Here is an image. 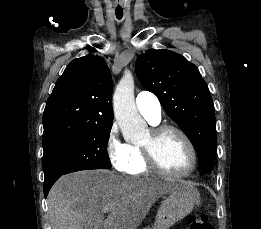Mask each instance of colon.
Listing matches in <instances>:
<instances>
[{
    "label": "colon",
    "mask_w": 261,
    "mask_h": 229,
    "mask_svg": "<svg viewBox=\"0 0 261 229\" xmlns=\"http://www.w3.org/2000/svg\"><path fill=\"white\" fill-rule=\"evenodd\" d=\"M187 229H212V225L205 214L192 215L188 219Z\"/></svg>",
    "instance_id": "obj_1"
}]
</instances>
